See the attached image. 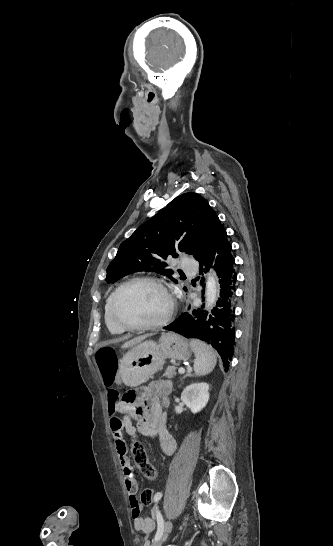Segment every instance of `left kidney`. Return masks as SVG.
I'll list each match as a JSON object with an SVG mask.
<instances>
[{"instance_id":"obj_1","label":"left kidney","mask_w":333,"mask_h":546,"mask_svg":"<svg viewBox=\"0 0 333 546\" xmlns=\"http://www.w3.org/2000/svg\"><path fill=\"white\" fill-rule=\"evenodd\" d=\"M209 385L207 383L191 384L182 394L181 400L193 413L201 411L209 400Z\"/></svg>"}]
</instances>
